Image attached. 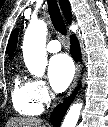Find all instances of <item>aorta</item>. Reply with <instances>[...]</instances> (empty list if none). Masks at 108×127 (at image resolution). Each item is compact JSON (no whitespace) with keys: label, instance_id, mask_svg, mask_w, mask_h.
Segmentation results:
<instances>
[{"label":"aorta","instance_id":"aorta-1","mask_svg":"<svg viewBox=\"0 0 108 127\" xmlns=\"http://www.w3.org/2000/svg\"><path fill=\"white\" fill-rule=\"evenodd\" d=\"M47 25L43 20L30 21L23 39V58L34 77H43L47 66L46 53ZM82 103L73 104L67 112L62 127H76Z\"/></svg>","mask_w":108,"mask_h":127}]
</instances>
